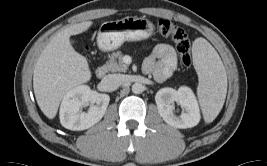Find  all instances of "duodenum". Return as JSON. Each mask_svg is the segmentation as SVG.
<instances>
[{"label":"duodenum","mask_w":267,"mask_h":166,"mask_svg":"<svg viewBox=\"0 0 267 166\" xmlns=\"http://www.w3.org/2000/svg\"><path fill=\"white\" fill-rule=\"evenodd\" d=\"M106 74V68L104 66H100L96 69L95 75L98 79H102Z\"/></svg>","instance_id":"410a0bca"}]
</instances>
